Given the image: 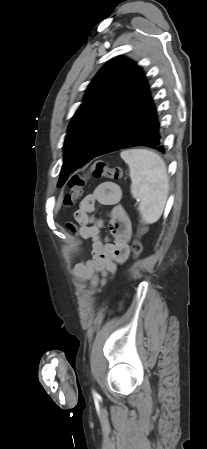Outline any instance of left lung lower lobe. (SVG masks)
<instances>
[{
  "label": "left lung lower lobe",
  "instance_id": "obj_1",
  "mask_svg": "<svg viewBox=\"0 0 207 449\" xmlns=\"http://www.w3.org/2000/svg\"><path fill=\"white\" fill-rule=\"evenodd\" d=\"M133 146H147L165 152L156 107L149 91L112 129L94 158Z\"/></svg>",
  "mask_w": 207,
  "mask_h": 449
}]
</instances>
